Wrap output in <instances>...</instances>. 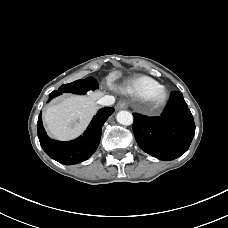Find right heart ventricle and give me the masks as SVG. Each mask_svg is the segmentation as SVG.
Instances as JSON below:
<instances>
[{
	"label": "right heart ventricle",
	"instance_id": "obj_1",
	"mask_svg": "<svg viewBox=\"0 0 228 228\" xmlns=\"http://www.w3.org/2000/svg\"><path fill=\"white\" fill-rule=\"evenodd\" d=\"M161 86L158 81L148 76H136L129 79L123 87V92L138 99H145L150 91Z\"/></svg>",
	"mask_w": 228,
	"mask_h": 228
}]
</instances>
